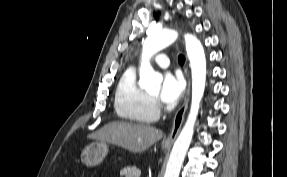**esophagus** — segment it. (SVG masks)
<instances>
[{
    "label": "esophagus",
    "mask_w": 287,
    "mask_h": 177,
    "mask_svg": "<svg viewBox=\"0 0 287 177\" xmlns=\"http://www.w3.org/2000/svg\"><path fill=\"white\" fill-rule=\"evenodd\" d=\"M189 95H190V78L188 77V84H187V91H186L185 100H184L183 105L180 107V109L175 114L171 133L169 134V136L166 139L163 140V145H165V146L173 144L174 140L176 139V137H177V135L181 129L182 123L184 121L185 112H186L187 107H188Z\"/></svg>",
    "instance_id": "obj_1"
}]
</instances>
